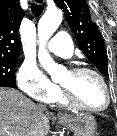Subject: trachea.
Listing matches in <instances>:
<instances>
[{"label": "trachea", "mask_w": 117, "mask_h": 136, "mask_svg": "<svg viewBox=\"0 0 117 136\" xmlns=\"http://www.w3.org/2000/svg\"><path fill=\"white\" fill-rule=\"evenodd\" d=\"M43 5L41 4H36V3H32L31 4V11L32 14L36 17L40 16L43 12Z\"/></svg>", "instance_id": "trachea-1"}]
</instances>
